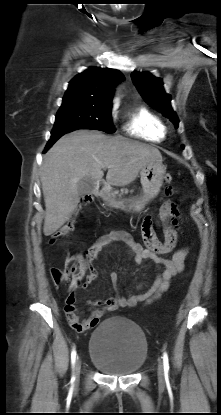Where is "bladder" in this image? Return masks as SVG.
<instances>
[{
    "instance_id": "obj_1",
    "label": "bladder",
    "mask_w": 221,
    "mask_h": 415,
    "mask_svg": "<svg viewBox=\"0 0 221 415\" xmlns=\"http://www.w3.org/2000/svg\"><path fill=\"white\" fill-rule=\"evenodd\" d=\"M147 352L148 343L143 330L121 316L104 320L89 340L91 363L108 375L135 373L144 364Z\"/></svg>"
}]
</instances>
